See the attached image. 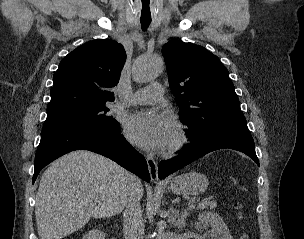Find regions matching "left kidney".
<instances>
[{
  "mask_svg": "<svg viewBox=\"0 0 304 239\" xmlns=\"http://www.w3.org/2000/svg\"><path fill=\"white\" fill-rule=\"evenodd\" d=\"M197 229L209 228L208 239H233L229 229L219 214L204 212L198 217Z\"/></svg>",
  "mask_w": 304,
  "mask_h": 239,
  "instance_id": "5707ae66",
  "label": "left kidney"
}]
</instances>
